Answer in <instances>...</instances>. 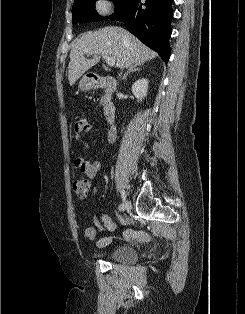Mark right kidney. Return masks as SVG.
<instances>
[{
    "label": "right kidney",
    "instance_id": "1",
    "mask_svg": "<svg viewBox=\"0 0 245 314\" xmlns=\"http://www.w3.org/2000/svg\"><path fill=\"white\" fill-rule=\"evenodd\" d=\"M132 93L137 98V101L141 102L144 97L147 96L148 80L139 79L131 87Z\"/></svg>",
    "mask_w": 245,
    "mask_h": 314
}]
</instances>
